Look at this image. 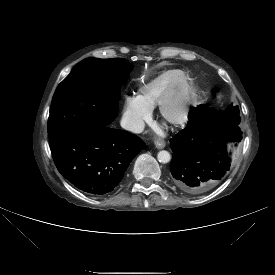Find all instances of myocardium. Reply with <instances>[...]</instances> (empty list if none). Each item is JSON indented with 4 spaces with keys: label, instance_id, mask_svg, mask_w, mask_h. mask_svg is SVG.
<instances>
[{
    "label": "myocardium",
    "instance_id": "obj_1",
    "mask_svg": "<svg viewBox=\"0 0 275 275\" xmlns=\"http://www.w3.org/2000/svg\"><path fill=\"white\" fill-rule=\"evenodd\" d=\"M181 90L178 109L174 114L168 112V107L172 103L175 94ZM192 97V85L188 74L183 70H176L174 77L166 91L157 102L159 118L166 124L178 126L188 120L190 113V103Z\"/></svg>",
    "mask_w": 275,
    "mask_h": 275
}]
</instances>
